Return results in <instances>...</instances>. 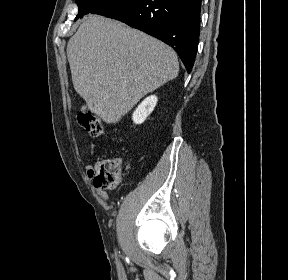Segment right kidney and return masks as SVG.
Returning <instances> with one entry per match:
<instances>
[{
	"label": "right kidney",
	"mask_w": 288,
	"mask_h": 280,
	"mask_svg": "<svg viewBox=\"0 0 288 280\" xmlns=\"http://www.w3.org/2000/svg\"><path fill=\"white\" fill-rule=\"evenodd\" d=\"M156 104H157V97L155 95H151L146 99H144L133 113L134 123L136 124L143 123L146 117L154 110Z\"/></svg>",
	"instance_id": "obj_1"
}]
</instances>
